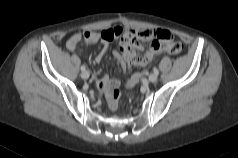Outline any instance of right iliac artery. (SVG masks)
<instances>
[{
  "mask_svg": "<svg viewBox=\"0 0 238 158\" xmlns=\"http://www.w3.org/2000/svg\"><path fill=\"white\" fill-rule=\"evenodd\" d=\"M85 69H86L85 65H82L81 66V71H85Z\"/></svg>",
  "mask_w": 238,
  "mask_h": 158,
  "instance_id": "obj_1",
  "label": "right iliac artery"
}]
</instances>
